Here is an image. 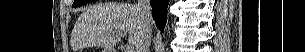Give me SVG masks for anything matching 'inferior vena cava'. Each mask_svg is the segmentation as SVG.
<instances>
[{
	"instance_id": "obj_1",
	"label": "inferior vena cava",
	"mask_w": 305,
	"mask_h": 52,
	"mask_svg": "<svg viewBox=\"0 0 305 52\" xmlns=\"http://www.w3.org/2000/svg\"><path fill=\"white\" fill-rule=\"evenodd\" d=\"M136 6L145 29L142 39L136 45V52H149L152 37V15L150 0H138Z\"/></svg>"
}]
</instances>
